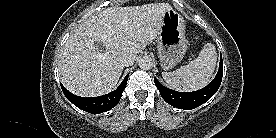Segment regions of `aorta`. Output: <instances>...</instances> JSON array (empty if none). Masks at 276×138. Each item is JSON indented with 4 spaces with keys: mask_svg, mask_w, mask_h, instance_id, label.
I'll list each match as a JSON object with an SVG mask.
<instances>
[{
    "mask_svg": "<svg viewBox=\"0 0 276 138\" xmlns=\"http://www.w3.org/2000/svg\"><path fill=\"white\" fill-rule=\"evenodd\" d=\"M138 65L142 70H149L153 66V60L149 56H143L139 59Z\"/></svg>",
    "mask_w": 276,
    "mask_h": 138,
    "instance_id": "762f6f07",
    "label": "aorta"
}]
</instances>
